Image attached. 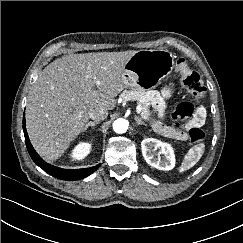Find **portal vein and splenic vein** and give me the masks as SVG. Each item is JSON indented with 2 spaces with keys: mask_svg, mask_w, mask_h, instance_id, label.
Wrapping results in <instances>:
<instances>
[{
  "mask_svg": "<svg viewBox=\"0 0 243 243\" xmlns=\"http://www.w3.org/2000/svg\"><path fill=\"white\" fill-rule=\"evenodd\" d=\"M141 111H142L141 104L138 103L137 106H136V112L139 114V113H141Z\"/></svg>",
  "mask_w": 243,
  "mask_h": 243,
  "instance_id": "obj_1",
  "label": "portal vein and splenic vein"
}]
</instances>
